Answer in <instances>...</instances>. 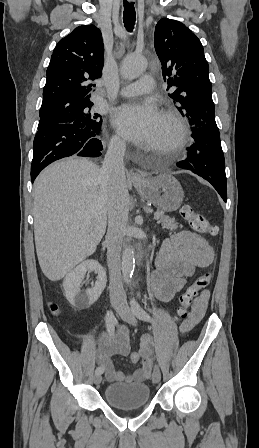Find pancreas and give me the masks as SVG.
I'll use <instances>...</instances> for the list:
<instances>
[{"label": "pancreas", "instance_id": "cf45deb5", "mask_svg": "<svg viewBox=\"0 0 259 448\" xmlns=\"http://www.w3.org/2000/svg\"><path fill=\"white\" fill-rule=\"evenodd\" d=\"M158 218L160 220V224H162L163 228L166 230H177V228H183V226H177V222L175 218H170V216H164V212L161 210H157L154 214V219Z\"/></svg>", "mask_w": 259, "mask_h": 448}]
</instances>
